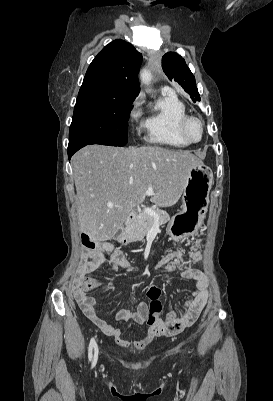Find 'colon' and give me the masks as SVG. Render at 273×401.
Instances as JSON below:
<instances>
[{"mask_svg": "<svg viewBox=\"0 0 273 401\" xmlns=\"http://www.w3.org/2000/svg\"><path fill=\"white\" fill-rule=\"evenodd\" d=\"M96 252L94 250H88L87 256L94 257ZM92 274V262L82 261L81 267L78 268V278L71 279L72 287H82L73 288V297H94L97 292H99L100 287L97 284H90L89 276ZM147 295L151 299L150 307L147 311L146 323L149 326H153L157 323L158 319L161 317L163 311V304L160 300L161 289L159 286L153 285L148 288Z\"/></svg>", "mask_w": 273, "mask_h": 401, "instance_id": "5ec220e1", "label": "colon"}]
</instances>
